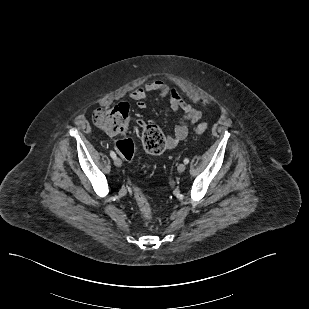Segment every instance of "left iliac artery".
Segmentation results:
<instances>
[{"label": "left iliac artery", "mask_w": 309, "mask_h": 309, "mask_svg": "<svg viewBox=\"0 0 309 309\" xmlns=\"http://www.w3.org/2000/svg\"><path fill=\"white\" fill-rule=\"evenodd\" d=\"M184 163H185V164H188V163H189V159H188V158H185V159H184Z\"/></svg>", "instance_id": "left-iliac-artery-1"}]
</instances>
